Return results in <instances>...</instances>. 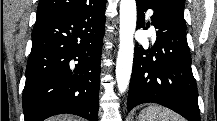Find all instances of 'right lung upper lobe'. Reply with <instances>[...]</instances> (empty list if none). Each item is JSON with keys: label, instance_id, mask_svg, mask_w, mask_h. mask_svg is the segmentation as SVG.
Returning <instances> with one entry per match:
<instances>
[{"label": "right lung upper lobe", "instance_id": "1", "mask_svg": "<svg viewBox=\"0 0 217 121\" xmlns=\"http://www.w3.org/2000/svg\"><path fill=\"white\" fill-rule=\"evenodd\" d=\"M88 2L89 0H40L36 20L78 11Z\"/></svg>", "mask_w": 217, "mask_h": 121}]
</instances>
